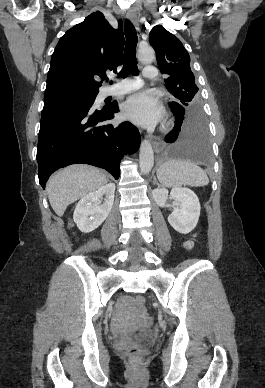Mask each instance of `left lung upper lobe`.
Returning a JSON list of instances; mask_svg holds the SVG:
<instances>
[{
  "mask_svg": "<svg viewBox=\"0 0 265 388\" xmlns=\"http://www.w3.org/2000/svg\"><path fill=\"white\" fill-rule=\"evenodd\" d=\"M149 42L156 52L161 73L167 75L164 80L166 88L177 101L173 103L186 109L201 110V99L190 68V57L181 41L163 26L157 25L150 31Z\"/></svg>",
  "mask_w": 265,
  "mask_h": 388,
  "instance_id": "5c2ea615",
  "label": "left lung upper lobe"
}]
</instances>
